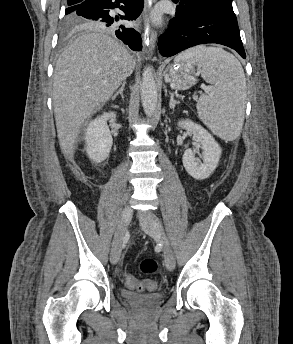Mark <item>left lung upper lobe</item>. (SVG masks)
<instances>
[{
  "instance_id": "left-lung-upper-lobe-1",
  "label": "left lung upper lobe",
  "mask_w": 293,
  "mask_h": 344,
  "mask_svg": "<svg viewBox=\"0 0 293 344\" xmlns=\"http://www.w3.org/2000/svg\"><path fill=\"white\" fill-rule=\"evenodd\" d=\"M182 4H194L205 13H210L236 30H239L237 19L232 8V0H181Z\"/></svg>"
}]
</instances>
